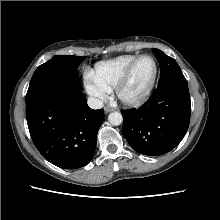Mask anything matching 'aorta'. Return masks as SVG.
Wrapping results in <instances>:
<instances>
[{
    "label": "aorta",
    "mask_w": 220,
    "mask_h": 220,
    "mask_svg": "<svg viewBox=\"0 0 220 220\" xmlns=\"http://www.w3.org/2000/svg\"><path fill=\"white\" fill-rule=\"evenodd\" d=\"M108 121L111 125L118 126L123 121L122 114L120 112H112L108 115Z\"/></svg>",
    "instance_id": "1"
}]
</instances>
